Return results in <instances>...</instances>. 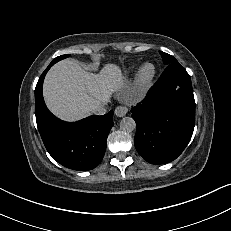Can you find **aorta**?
<instances>
[{
	"label": "aorta",
	"instance_id": "1",
	"mask_svg": "<svg viewBox=\"0 0 231 231\" xmlns=\"http://www.w3.org/2000/svg\"><path fill=\"white\" fill-rule=\"evenodd\" d=\"M120 128L125 132H132L136 128V123L131 117H124L120 121Z\"/></svg>",
	"mask_w": 231,
	"mask_h": 231
}]
</instances>
